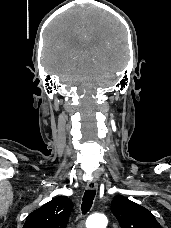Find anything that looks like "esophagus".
Listing matches in <instances>:
<instances>
[{"label":"esophagus","instance_id":"esophagus-1","mask_svg":"<svg viewBox=\"0 0 171 228\" xmlns=\"http://www.w3.org/2000/svg\"><path fill=\"white\" fill-rule=\"evenodd\" d=\"M86 187H87L88 190H97L98 184H97L95 179H90L87 182V186Z\"/></svg>","mask_w":171,"mask_h":228}]
</instances>
